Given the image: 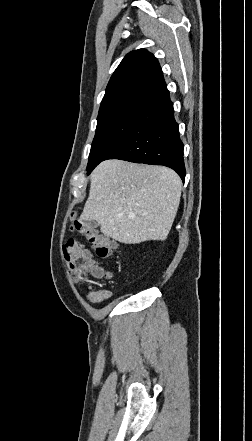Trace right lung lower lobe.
Returning a JSON list of instances; mask_svg holds the SVG:
<instances>
[{"mask_svg": "<svg viewBox=\"0 0 252 441\" xmlns=\"http://www.w3.org/2000/svg\"><path fill=\"white\" fill-rule=\"evenodd\" d=\"M183 148L179 125L174 119L173 103L165 87L146 100L145 108L133 129L105 160L121 159L167 166L184 180L186 171Z\"/></svg>", "mask_w": 252, "mask_h": 441, "instance_id": "right-lung-lower-lobe-1", "label": "right lung lower lobe"}]
</instances>
